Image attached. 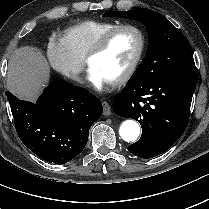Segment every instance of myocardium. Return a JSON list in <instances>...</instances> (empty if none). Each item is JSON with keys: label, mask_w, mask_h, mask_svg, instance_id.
<instances>
[{"label": "myocardium", "mask_w": 209, "mask_h": 209, "mask_svg": "<svg viewBox=\"0 0 209 209\" xmlns=\"http://www.w3.org/2000/svg\"><path fill=\"white\" fill-rule=\"evenodd\" d=\"M122 30H133L138 34L139 37V49L137 51V54L135 58L133 59L132 63L128 67L127 71L118 79L109 82V84L113 86H121L126 83H128L135 73L137 72V69L143 59L146 46H147V39L144 31L137 25L131 24V23H124L117 25L108 31H106L93 45V47L89 50L85 57V62L88 66H90V63L93 58L101 54L109 44L111 38L113 35H115L117 32L122 31Z\"/></svg>", "instance_id": "obj_1"}]
</instances>
